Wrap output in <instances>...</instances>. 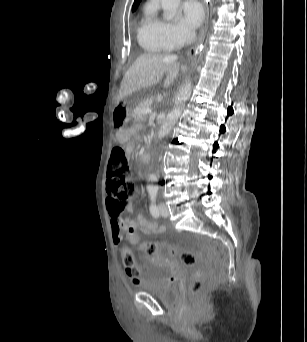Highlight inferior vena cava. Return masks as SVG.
Listing matches in <instances>:
<instances>
[{
  "instance_id": "inferior-vena-cava-1",
  "label": "inferior vena cava",
  "mask_w": 307,
  "mask_h": 342,
  "mask_svg": "<svg viewBox=\"0 0 307 342\" xmlns=\"http://www.w3.org/2000/svg\"><path fill=\"white\" fill-rule=\"evenodd\" d=\"M194 38H195V32H189V34L187 36L188 44H191V42H193Z\"/></svg>"
}]
</instances>
